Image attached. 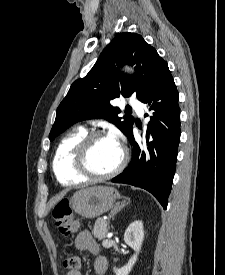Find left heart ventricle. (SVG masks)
<instances>
[{
    "mask_svg": "<svg viewBox=\"0 0 225 275\" xmlns=\"http://www.w3.org/2000/svg\"><path fill=\"white\" fill-rule=\"evenodd\" d=\"M121 158L120 145L108 137L97 139L87 155V165L95 174H107L116 168Z\"/></svg>",
    "mask_w": 225,
    "mask_h": 275,
    "instance_id": "1",
    "label": "left heart ventricle"
}]
</instances>
